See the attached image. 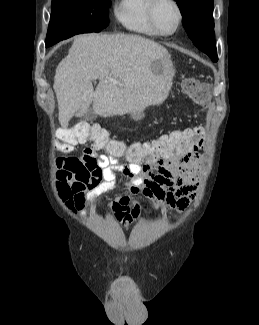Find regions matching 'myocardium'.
Returning a JSON list of instances; mask_svg holds the SVG:
<instances>
[{
  "instance_id": "myocardium-1",
  "label": "myocardium",
  "mask_w": 259,
  "mask_h": 325,
  "mask_svg": "<svg viewBox=\"0 0 259 325\" xmlns=\"http://www.w3.org/2000/svg\"><path fill=\"white\" fill-rule=\"evenodd\" d=\"M162 0H150L148 9H147V16H148V20L151 24V26L153 27V29L157 32L158 35L161 36H170L173 35L174 33H176L178 31V29L181 27L182 23H183V19H184V12H183V8L180 4V2L178 0H168L169 2H171L178 13V21L177 24L175 26V28L171 31V32H163L159 29L156 20H155V10L157 5L161 2Z\"/></svg>"
}]
</instances>
